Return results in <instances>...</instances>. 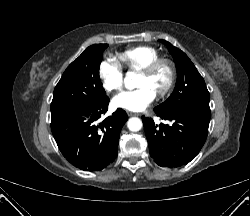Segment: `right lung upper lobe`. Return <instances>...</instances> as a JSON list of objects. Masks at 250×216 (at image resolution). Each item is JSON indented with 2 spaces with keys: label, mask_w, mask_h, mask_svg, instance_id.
<instances>
[{
  "label": "right lung upper lobe",
  "mask_w": 250,
  "mask_h": 216,
  "mask_svg": "<svg viewBox=\"0 0 250 216\" xmlns=\"http://www.w3.org/2000/svg\"><path fill=\"white\" fill-rule=\"evenodd\" d=\"M101 46H108L107 44H96V45H92L90 47H101Z\"/></svg>",
  "instance_id": "1"
}]
</instances>
